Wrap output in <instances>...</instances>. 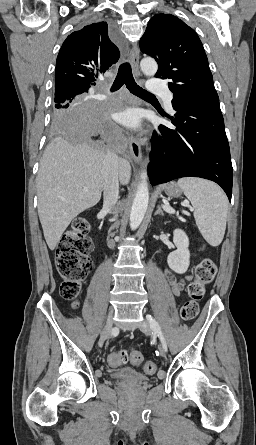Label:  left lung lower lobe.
Instances as JSON below:
<instances>
[{"label":"left lung lower lobe","mask_w":256,"mask_h":445,"mask_svg":"<svg viewBox=\"0 0 256 445\" xmlns=\"http://www.w3.org/2000/svg\"><path fill=\"white\" fill-rule=\"evenodd\" d=\"M172 107L176 128L160 125L152 136L151 184L201 177L218 183L231 201L233 168L220 107L181 99H173Z\"/></svg>","instance_id":"1"}]
</instances>
